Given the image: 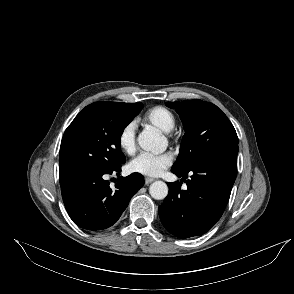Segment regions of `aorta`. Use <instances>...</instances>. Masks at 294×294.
<instances>
[{"mask_svg": "<svg viewBox=\"0 0 294 294\" xmlns=\"http://www.w3.org/2000/svg\"><path fill=\"white\" fill-rule=\"evenodd\" d=\"M139 146L149 152L157 153L162 150L163 139L154 130H143L138 136ZM150 195L157 200H162L168 195V186L163 181H155L149 187Z\"/></svg>", "mask_w": 294, "mask_h": 294, "instance_id": "obj_1", "label": "aorta"}]
</instances>
